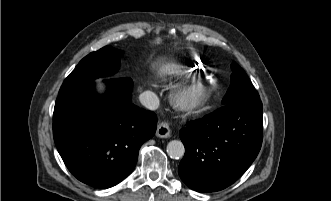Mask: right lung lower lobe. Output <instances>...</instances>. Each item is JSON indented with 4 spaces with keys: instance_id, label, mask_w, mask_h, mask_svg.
Instances as JSON below:
<instances>
[{
    "instance_id": "obj_1",
    "label": "right lung lower lobe",
    "mask_w": 331,
    "mask_h": 201,
    "mask_svg": "<svg viewBox=\"0 0 331 201\" xmlns=\"http://www.w3.org/2000/svg\"><path fill=\"white\" fill-rule=\"evenodd\" d=\"M104 82L102 96L92 82L58 96L53 114L54 141L68 170L98 188L112 187L132 172L157 126L154 112L131 103L130 78Z\"/></svg>"
}]
</instances>
